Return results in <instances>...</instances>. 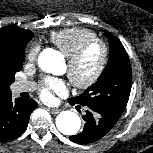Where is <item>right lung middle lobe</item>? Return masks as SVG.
Wrapping results in <instances>:
<instances>
[{
    "label": "right lung middle lobe",
    "instance_id": "dd1d6c3e",
    "mask_svg": "<svg viewBox=\"0 0 153 153\" xmlns=\"http://www.w3.org/2000/svg\"><path fill=\"white\" fill-rule=\"evenodd\" d=\"M25 52L0 56V82L10 86L14 82L15 73L23 66Z\"/></svg>",
    "mask_w": 153,
    "mask_h": 153
}]
</instances>
